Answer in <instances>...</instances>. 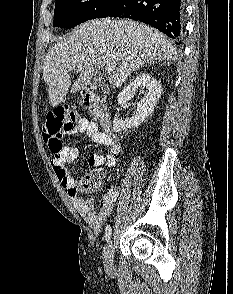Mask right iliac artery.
Masks as SVG:
<instances>
[{
	"label": "right iliac artery",
	"mask_w": 233,
	"mask_h": 294,
	"mask_svg": "<svg viewBox=\"0 0 233 294\" xmlns=\"http://www.w3.org/2000/svg\"><path fill=\"white\" fill-rule=\"evenodd\" d=\"M112 229L110 225H107L105 228V240L108 242L111 238Z\"/></svg>",
	"instance_id": "right-iliac-artery-1"
}]
</instances>
